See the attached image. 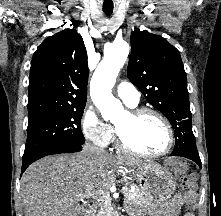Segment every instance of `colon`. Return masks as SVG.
<instances>
[{
  "instance_id": "1",
  "label": "colon",
  "mask_w": 221,
  "mask_h": 216,
  "mask_svg": "<svg viewBox=\"0 0 221 216\" xmlns=\"http://www.w3.org/2000/svg\"><path fill=\"white\" fill-rule=\"evenodd\" d=\"M172 170L182 180V187L186 194L192 196L194 192V184L192 180L187 176V165L183 160H173L170 164Z\"/></svg>"
}]
</instances>
